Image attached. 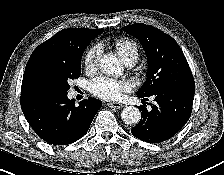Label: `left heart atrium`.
Here are the masks:
<instances>
[{
    "label": "left heart atrium",
    "instance_id": "1",
    "mask_svg": "<svg viewBox=\"0 0 224 175\" xmlns=\"http://www.w3.org/2000/svg\"><path fill=\"white\" fill-rule=\"evenodd\" d=\"M129 84L109 77H99L90 84V91L105 100H117L121 98L124 92L129 90Z\"/></svg>",
    "mask_w": 224,
    "mask_h": 175
}]
</instances>
